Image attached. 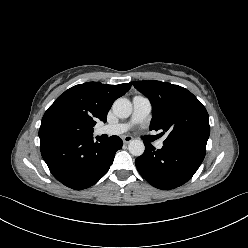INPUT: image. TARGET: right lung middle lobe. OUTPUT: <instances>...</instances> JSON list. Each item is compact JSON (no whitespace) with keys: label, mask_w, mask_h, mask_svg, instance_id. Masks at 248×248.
Returning <instances> with one entry per match:
<instances>
[{"label":"right lung middle lobe","mask_w":248,"mask_h":248,"mask_svg":"<svg viewBox=\"0 0 248 248\" xmlns=\"http://www.w3.org/2000/svg\"><path fill=\"white\" fill-rule=\"evenodd\" d=\"M90 135L82 123L69 116H53L42 121L39 129V137H76Z\"/></svg>","instance_id":"obj_1"}]
</instances>
